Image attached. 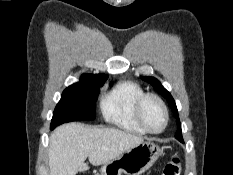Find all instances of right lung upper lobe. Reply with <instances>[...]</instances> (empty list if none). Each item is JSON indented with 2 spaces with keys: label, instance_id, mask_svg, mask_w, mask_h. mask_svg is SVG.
<instances>
[{
  "label": "right lung upper lobe",
  "instance_id": "obj_1",
  "mask_svg": "<svg viewBox=\"0 0 233 175\" xmlns=\"http://www.w3.org/2000/svg\"><path fill=\"white\" fill-rule=\"evenodd\" d=\"M108 78L107 75L104 74H83L81 76V81L80 82H85V81H102V80H106ZM79 82V83H80Z\"/></svg>",
  "mask_w": 233,
  "mask_h": 175
}]
</instances>
